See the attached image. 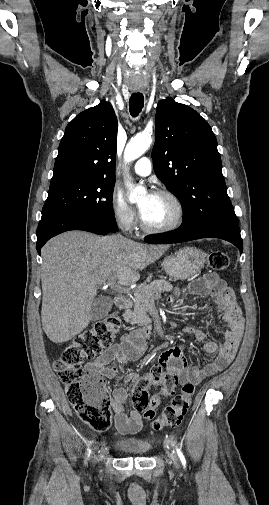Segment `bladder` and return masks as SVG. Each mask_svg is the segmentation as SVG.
Listing matches in <instances>:
<instances>
[{"mask_svg": "<svg viewBox=\"0 0 269 505\" xmlns=\"http://www.w3.org/2000/svg\"><path fill=\"white\" fill-rule=\"evenodd\" d=\"M114 447L118 452L130 456H145L152 448L148 442L130 440L117 441Z\"/></svg>", "mask_w": 269, "mask_h": 505, "instance_id": "bladder-1", "label": "bladder"}]
</instances>
